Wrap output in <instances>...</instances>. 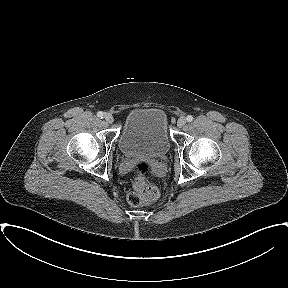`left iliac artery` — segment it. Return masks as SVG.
Masks as SVG:
<instances>
[{
	"mask_svg": "<svg viewBox=\"0 0 288 288\" xmlns=\"http://www.w3.org/2000/svg\"><path fill=\"white\" fill-rule=\"evenodd\" d=\"M186 120H187L188 122H191V121L193 120V117H192L191 115H188V116L186 117Z\"/></svg>",
	"mask_w": 288,
	"mask_h": 288,
	"instance_id": "1",
	"label": "left iliac artery"
}]
</instances>
